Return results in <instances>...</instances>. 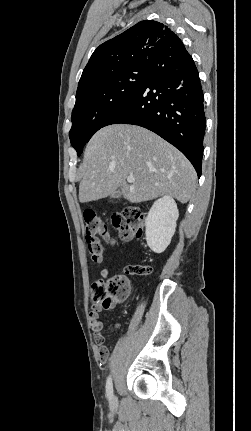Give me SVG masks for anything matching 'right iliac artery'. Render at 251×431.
Masks as SVG:
<instances>
[{
	"instance_id": "1",
	"label": "right iliac artery",
	"mask_w": 251,
	"mask_h": 431,
	"mask_svg": "<svg viewBox=\"0 0 251 431\" xmlns=\"http://www.w3.org/2000/svg\"><path fill=\"white\" fill-rule=\"evenodd\" d=\"M106 394L109 399L113 398V386H112L111 377H108L106 382Z\"/></svg>"
}]
</instances>
